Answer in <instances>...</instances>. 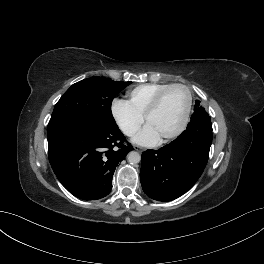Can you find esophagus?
Wrapping results in <instances>:
<instances>
[{
	"label": "esophagus",
	"mask_w": 264,
	"mask_h": 264,
	"mask_svg": "<svg viewBox=\"0 0 264 264\" xmlns=\"http://www.w3.org/2000/svg\"><path fill=\"white\" fill-rule=\"evenodd\" d=\"M134 150L138 151V152H142L143 148L139 147V146H134Z\"/></svg>",
	"instance_id": "obj_1"
}]
</instances>
